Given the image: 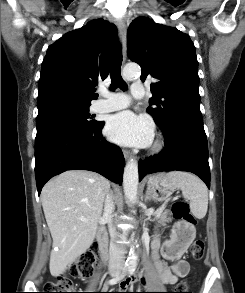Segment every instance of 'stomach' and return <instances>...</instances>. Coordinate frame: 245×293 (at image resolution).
Returning <instances> with one entry per match:
<instances>
[{
	"instance_id": "obj_1",
	"label": "stomach",
	"mask_w": 245,
	"mask_h": 293,
	"mask_svg": "<svg viewBox=\"0 0 245 293\" xmlns=\"http://www.w3.org/2000/svg\"><path fill=\"white\" fill-rule=\"evenodd\" d=\"M176 187L168 180L165 174H156L148 178L147 181V192L151 198L155 201H164L170 198L175 191ZM182 232H190V236L187 240L188 245L195 236V230L192 226H181Z\"/></svg>"
}]
</instances>
